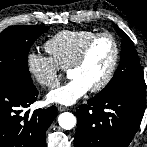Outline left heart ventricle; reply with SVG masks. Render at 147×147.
<instances>
[{"label":"left heart ventricle","instance_id":"1","mask_svg":"<svg viewBox=\"0 0 147 147\" xmlns=\"http://www.w3.org/2000/svg\"><path fill=\"white\" fill-rule=\"evenodd\" d=\"M113 56L114 47L112 41L108 37H102L93 44L83 65L71 70L68 77L70 79H80L89 88H92L107 74Z\"/></svg>","mask_w":147,"mask_h":147}]
</instances>
